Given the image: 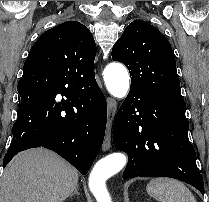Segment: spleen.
Here are the masks:
<instances>
[{
	"instance_id": "spleen-1",
	"label": "spleen",
	"mask_w": 209,
	"mask_h": 202,
	"mask_svg": "<svg viewBox=\"0 0 209 202\" xmlns=\"http://www.w3.org/2000/svg\"><path fill=\"white\" fill-rule=\"evenodd\" d=\"M147 193L159 202H196L191 191L180 181L170 178L152 179Z\"/></svg>"
}]
</instances>
